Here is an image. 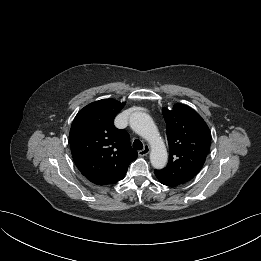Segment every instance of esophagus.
<instances>
[{
	"mask_svg": "<svg viewBox=\"0 0 261 261\" xmlns=\"http://www.w3.org/2000/svg\"><path fill=\"white\" fill-rule=\"evenodd\" d=\"M149 152H150V147L148 145H145L142 150L138 151V155L143 157V156L148 155Z\"/></svg>",
	"mask_w": 261,
	"mask_h": 261,
	"instance_id": "obj_1",
	"label": "esophagus"
}]
</instances>
